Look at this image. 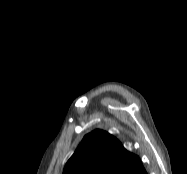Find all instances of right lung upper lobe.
I'll use <instances>...</instances> for the list:
<instances>
[{
    "instance_id": "cb5924a9",
    "label": "right lung upper lobe",
    "mask_w": 187,
    "mask_h": 174,
    "mask_svg": "<svg viewBox=\"0 0 187 174\" xmlns=\"http://www.w3.org/2000/svg\"><path fill=\"white\" fill-rule=\"evenodd\" d=\"M63 174H147L139 157L102 130L87 134Z\"/></svg>"
}]
</instances>
